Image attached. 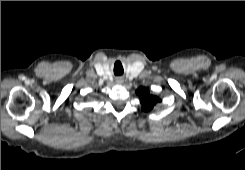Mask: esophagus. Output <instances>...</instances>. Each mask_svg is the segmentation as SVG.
Returning a JSON list of instances; mask_svg holds the SVG:
<instances>
[{
    "label": "esophagus",
    "instance_id": "esophagus-1",
    "mask_svg": "<svg viewBox=\"0 0 245 170\" xmlns=\"http://www.w3.org/2000/svg\"><path fill=\"white\" fill-rule=\"evenodd\" d=\"M116 83L117 84H122L123 83V79L122 78H117L116 79Z\"/></svg>",
    "mask_w": 245,
    "mask_h": 170
}]
</instances>
